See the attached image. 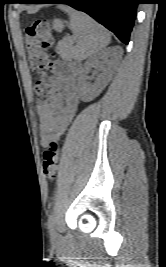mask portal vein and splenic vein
<instances>
[{"label": "portal vein and splenic vein", "mask_w": 166, "mask_h": 267, "mask_svg": "<svg viewBox=\"0 0 166 267\" xmlns=\"http://www.w3.org/2000/svg\"><path fill=\"white\" fill-rule=\"evenodd\" d=\"M67 40H68L69 42H72V41H73V40H72V39H70V38H68Z\"/></svg>", "instance_id": "obj_1"}]
</instances>
